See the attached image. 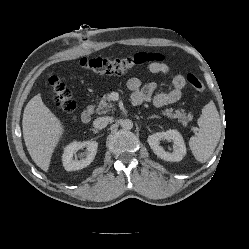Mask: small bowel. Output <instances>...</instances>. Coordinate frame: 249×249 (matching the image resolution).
<instances>
[{"instance_id":"c3829d8e","label":"small bowel","mask_w":249,"mask_h":249,"mask_svg":"<svg viewBox=\"0 0 249 249\" xmlns=\"http://www.w3.org/2000/svg\"><path fill=\"white\" fill-rule=\"evenodd\" d=\"M149 74H161L170 80V90L165 93L156 94L153 102L157 107H164L177 102L182 96V90L185 86V78L180 74H174L170 68L164 63L151 64L147 68ZM127 87L132 91V101L139 105L144 101H148L153 96L157 84L150 82L143 85L140 78L132 77L127 82Z\"/></svg>"}]
</instances>
